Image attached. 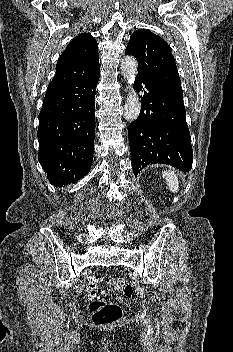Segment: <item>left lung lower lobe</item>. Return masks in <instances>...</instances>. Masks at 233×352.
<instances>
[{"label":"left lung lower lobe","instance_id":"0a47b994","mask_svg":"<svg viewBox=\"0 0 233 352\" xmlns=\"http://www.w3.org/2000/svg\"><path fill=\"white\" fill-rule=\"evenodd\" d=\"M134 89L144 92L140 115L128 128L134 175L154 163L190 171L193 151L183 99L138 76Z\"/></svg>","mask_w":233,"mask_h":352}]
</instances>
